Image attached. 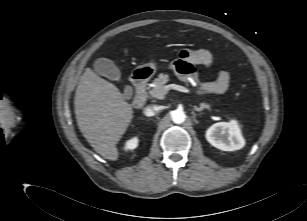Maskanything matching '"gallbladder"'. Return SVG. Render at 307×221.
I'll list each match as a JSON object with an SVG mask.
<instances>
[{
    "label": "gallbladder",
    "mask_w": 307,
    "mask_h": 221,
    "mask_svg": "<svg viewBox=\"0 0 307 221\" xmlns=\"http://www.w3.org/2000/svg\"><path fill=\"white\" fill-rule=\"evenodd\" d=\"M94 70L99 74L111 81H121V72L112 60L107 58H99L94 63ZM124 96L130 98L132 96V88L130 86L125 87Z\"/></svg>",
    "instance_id": "bac80fb5"
}]
</instances>
